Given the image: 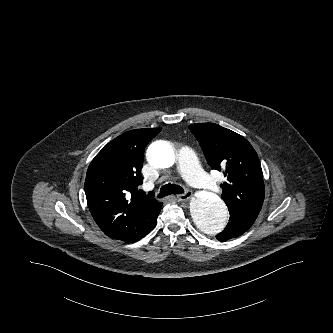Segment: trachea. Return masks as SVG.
I'll return each instance as SVG.
<instances>
[{
  "label": "trachea",
  "instance_id": "3493384b",
  "mask_svg": "<svg viewBox=\"0 0 333 333\" xmlns=\"http://www.w3.org/2000/svg\"><path fill=\"white\" fill-rule=\"evenodd\" d=\"M181 193H184V189L181 186L174 184H166L161 187L158 197L163 198L171 194H181Z\"/></svg>",
  "mask_w": 333,
  "mask_h": 333
}]
</instances>
